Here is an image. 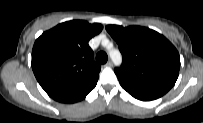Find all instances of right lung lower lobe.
Instances as JSON below:
<instances>
[{"mask_svg":"<svg viewBox=\"0 0 203 123\" xmlns=\"http://www.w3.org/2000/svg\"><path fill=\"white\" fill-rule=\"evenodd\" d=\"M96 83L82 90L57 93V94L50 95V97L62 103H75L84 99L86 95L96 86Z\"/></svg>","mask_w":203,"mask_h":123,"instance_id":"obj_1","label":"right lung lower lobe"}]
</instances>
